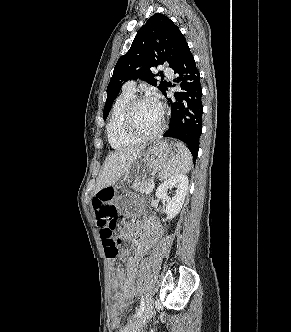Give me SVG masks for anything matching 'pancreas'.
Returning a JSON list of instances; mask_svg holds the SVG:
<instances>
[{
    "instance_id": "pancreas-1",
    "label": "pancreas",
    "mask_w": 291,
    "mask_h": 332,
    "mask_svg": "<svg viewBox=\"0 0 291 332\" xmlns=\"http://www.w3.org/2000/svg\"><path fill=\"white\" fill-rule=\"evenodd\" d=\"M152 178H148L146 180L140 181V182H135L132 185V188L137 191L140 192L141 194L146 193L147 187L149 186V184L152 182Z\"/></svg>"
}]
</instances>
